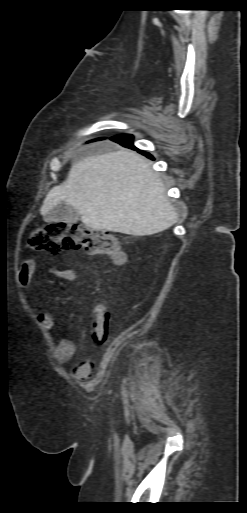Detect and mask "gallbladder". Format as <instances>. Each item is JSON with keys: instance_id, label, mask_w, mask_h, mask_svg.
Masks as SVG:
<instances>
[{"instance_id": "gallbladder-1", "label": "gallbladder", "mask_w": 247, "mask_h": 513, "mask_svg": "<svg viewBox=\"0 0 247 513\" xmlns=\"http://www.w3.org/2000/svg\"><path fill=\"white\" fill-rule=\"evenodd\" d=\"M81 215L69 204H58L46 217L47 222H66L68 224L76 223Z\"/></svg>"}]
</instances>
